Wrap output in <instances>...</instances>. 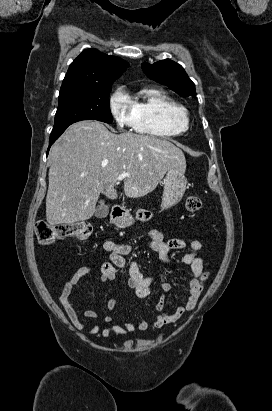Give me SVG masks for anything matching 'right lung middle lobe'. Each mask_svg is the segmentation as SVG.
Masks as SVG:
<instances>
[{
  "label": "right lung middle lobe",
  "mask_w": 272,
  "mask_h": 411,
  "mask_svg": "<svg viewBox=\"0 0 272 411\" xmlns=\"http://www.w3.org/2000/svg\"><path fill=\"white\" fill-rule=\"evenodd\" d=\"M111 84L87 90L60 92L50 139L58 138L69 125L81 120L93 119L112 123L109 104Z\"/></svg>",
  "instance_id": "1"
}]
</instances>
